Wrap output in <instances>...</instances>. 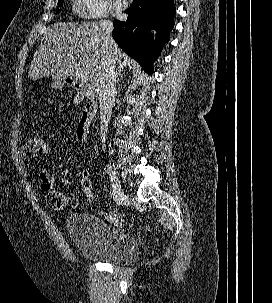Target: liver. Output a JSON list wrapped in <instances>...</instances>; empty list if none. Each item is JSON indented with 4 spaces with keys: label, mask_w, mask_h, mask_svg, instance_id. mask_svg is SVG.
I'll return each mask as SVG.
<instances>
[{
    "label": "liver",
    "mask_w": 272,
    "mask_h": 303,
    "mask_svg": "<svg viewBox=\"0 0 272 303\" xmlns=\"http://www.w3.org/2000/svg\"><path fill=\"white\" fill-rule=\"evenodd\" d=\"M116 67L121 71L135 62L114 42L111 47ZM105 35L97 22H70L51 25L36 50L28 77L36 81L51 76L66 81L78 73L86 74L85 95L93 99L99 93L102 62L105 59Z\"/></svg>",
    "instance_id": "liver-1"
}]
</instances>
